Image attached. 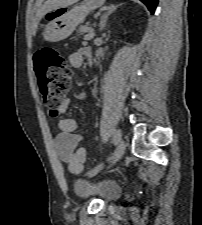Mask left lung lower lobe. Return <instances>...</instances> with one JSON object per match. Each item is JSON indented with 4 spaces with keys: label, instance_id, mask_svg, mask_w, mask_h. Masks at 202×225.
Returning a JSON list of instances; mask_svg holds the SVG:
<instances>
[{
    "label": "left lung lower lobe",
    "instance_id": "0a47b994",
    "mask_svg": "<svg viewBox=\"0 0 202 225\" xmlns=\"http://www.w3.org/2000/svg\"><path fill=\"white\" fill-rule=\"evenodd\" d=\"M141 1L147 5L148 9L153 14L158 4V0H141Z\"/></svg>",
    "mask_w": 202,
    "mask_h": 225
}]
</instances>
